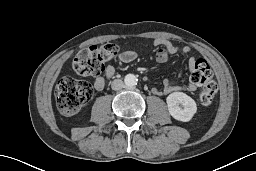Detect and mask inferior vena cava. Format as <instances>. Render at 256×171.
Listing matches in <instances>:
<instances>
[{
	"instance_id": "inferior-vena-cava-1",
	"label": "inferior vena cava",
	"mask_w": 256,
	"mask_h": 171,
	"mask_svg": "<svg viewBox=\"0 0 256 171\" xmlns=\"http://www.w3.org/2000/svg\"><path fill=\"white\" fill-rule=\"evenodd\" d=\"M111 87L113 90H121L124 87V82L121 79H115L112 84Z\"/></svg>"
}]
</instances>
